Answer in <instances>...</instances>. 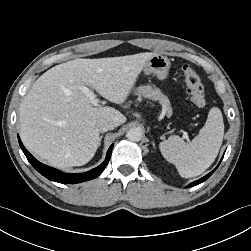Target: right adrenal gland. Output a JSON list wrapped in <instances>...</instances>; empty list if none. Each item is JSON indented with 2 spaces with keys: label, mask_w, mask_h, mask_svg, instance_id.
<instances>
[{
  "label": "right adrenal gland",
  "mask_w": 251,
  "mask_h": 251,
  "mask_svg": "<svg viewBox=\"0 0 251 251\" xmlns=\"http://www.w3.org/2000/svg\"><path fill=\"white\" fill-rule=\"evenodd\" d=\"M102 137H103V135L100 136V139H99V146L101 145Z\"/></svg>",
  "instance_id": "2a0ac1e0"
}]
</instances>
